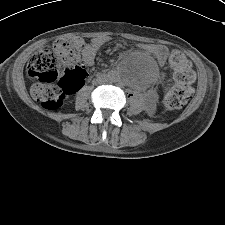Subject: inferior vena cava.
Masks as SVG:
<instances>
[{
  "mask_svg": "<svg viewBox=\"0 0 225 225\" xmlns=\"http://www.w3.org/2000/svg\"><path fill=\"white\" fill-rule=\"evenodd\" d=\"M97 82H98V84H103V83L107 82V78H105V77H98L97 78Z\"/></svg>",
  "mask_w": 225,
  "mask_h": 225,
  "instance_id": "602c4592",
  "label": "inferior vena cava"
}]
</instances>
